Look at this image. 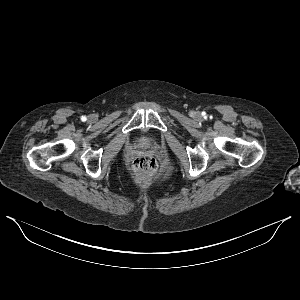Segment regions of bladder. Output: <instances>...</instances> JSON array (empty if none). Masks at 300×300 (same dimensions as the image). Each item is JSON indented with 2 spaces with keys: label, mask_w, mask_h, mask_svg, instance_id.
<instances>
[{
  "label": "bladder",
  "mask_w": 300,
  "mask_h": 300,
  "mask_svg": "<svg viewBox=\"0 0 300 300\" xmlns=\"http://www.w3.org/2000/svg\"><path fill=\"white\" fill-rule=\"evenodd\" d=\"M153 141V137L148 134L140 135L139 142L142 144H149Z\"/></svg>",
  "instance_id": "31cf9c89"
}]
</instances>
